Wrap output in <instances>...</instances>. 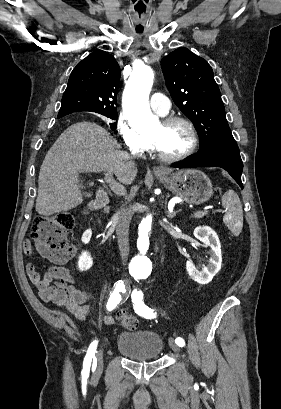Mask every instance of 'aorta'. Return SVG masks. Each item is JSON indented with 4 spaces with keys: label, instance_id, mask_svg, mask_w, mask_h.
Returning a JSON list of instances; mask_svg holds the SVG:
<instances>
[{
    "label": "aorta",
    "instance_id": "762f6f07",
    "mask_svg": "<svg viewBox=\"0 0 281 409\" xmlns=\"http://www.w3.org/2000/svg\"><path fill=\"white\" fill-rule=\"evenodd\" d=\"M153 70L139 64L134 69L123 96V109L131 127L138 133H147L159 124L149 107V94L153 85ZM152 216L147 215L139 225L141 233L151 229Z\"/></svg>",
    "mask_w": 281,
    "mask_h": 409
}]
</instances>
